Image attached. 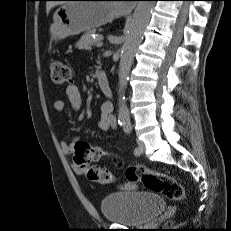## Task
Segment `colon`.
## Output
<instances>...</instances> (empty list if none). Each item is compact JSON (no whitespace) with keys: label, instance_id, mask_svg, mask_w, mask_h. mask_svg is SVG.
<instances>
[{"label":"colon","instance_id":"1","mask_svg":"<svg viewBox=\"0 0 231 231\" xmlns=\"http://www.w3.org/2000/svg\"><path fill=\"white\" fill-rule=\"evenodd\" d=\"M73 71L70 66L62 61L55 60L51 63V80L57 86L71 83ZM74 161L80 167H86V175L90 181L109 184L115 181L114 175L93 163L114 155L100 147L92 146L84 141H77L74 145ZM126 178L129 182L141 181L152 192L161 193L170 200L180 201L185 197L183 186L172 176L162 172L147 169L143 165H131L126 169Z\"/></svg>","mask_w":231,"mask_h":231}]
</instances>
